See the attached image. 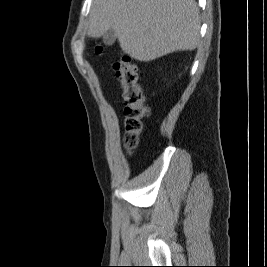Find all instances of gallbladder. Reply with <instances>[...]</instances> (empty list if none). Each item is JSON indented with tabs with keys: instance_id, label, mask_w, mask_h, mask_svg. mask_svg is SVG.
<instances>
[{
	"instance_id": "1",
	"label": "gallbladder",
	"mask_w": 267,
	"mask_h": 267,
	"mask_svg": "<svg viewBox=\"0 0 267 267\" xmlns=\"http://www.w3.org/2000/svg\"><path fill=\"white\" fill-rule=\"evenodd\" d=\"M116 40V34L113 29L108 30L104 35H103V42L107 46H111L114 44Z\"/></svg>"
}]
</instances>
